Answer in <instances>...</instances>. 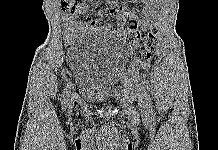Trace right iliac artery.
<instances>
[{
	"instance_id": "obj_1",
	"label": "right iliac artery",
	"mask_w": 218,
	"mask_h": 150,
	"mask_svg": "<svg viewBox=\"0 0 218 150\" xmlns=\"http://www.w3.org/2000/svg\"><path fill=\"white\" fill-rule=\"evenodd\" d=\"M71 83L69 82L66 86V88L64 89V95H63V104L64 106L66 107V104L68 102V99H69V94H70V91H71Z\"/></svg>"
}]
</instances>
